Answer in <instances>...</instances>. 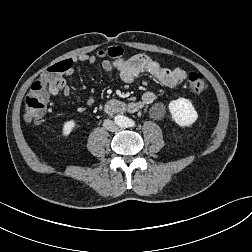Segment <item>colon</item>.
<instances>
[{"label": "colon", "mask_w": 252, "mask_h": 252, "mask_svg": "<svg viewBox=\"0 0 252 252\" xmlns=\"http://www.w3.org/2000/svg\"><path fill=\"white\" fill-rule=\"evenodd\" d=\"M100 57L120 59L123 50L120 47H111L98 52ZM70 65L65 61L58 62L48 68L39 79L33 82L29 94L24 101V118L28 122L40 120L46 112L48 94L47 90L58 83L61 75L64 74ZM188 86L192 93L202 94L208 89V84L200 73H190L187 76Z\"/></svg>", "instance_id": "obj_1"}]
</instances>
